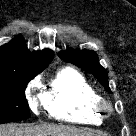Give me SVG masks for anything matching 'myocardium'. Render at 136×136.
<instances>
[{
    "label": "myocardium",
    "instance_id": "obj_1",
    "mask_svg": "<svg viewBox=\"0 0 136 136\" xmlns=\"http://www.w3.org/2000/svg\"><path fill=\"white\" fill-rule=\"evenodd\" d=\"M95 107L101 116L108 115L113 110L112 104L108 100L101 98V97L96 102Z\"/></svg>",
    "mask_w": 136,
    "mask_h": 136
}]
</instances>
